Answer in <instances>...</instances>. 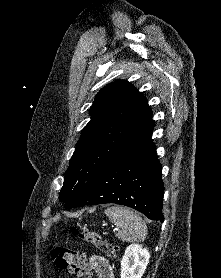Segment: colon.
I'll return each instance as SVG.
<instances>
[{
	"label": "colon",
	"instance_id": "5ec220e1",
	"mask_svg": "<svg viewBox=\"0 0 221 278\" xmlns=\"http://www.w3.org/2000/svg\"><path fill=\"white\" fill-rule=\"evenodd\" d=\"M79 236L86 243L100 248L110 256H115L117 253V248L111 243L103 240L96 232L83 229L79 232ZM51 258L55 265L60 269L80 276L88 275V270L82 255L74 249L64 246H56L51 251Z\"/></svg>",
	"mask_w": 221,
	"mask_h": 278
}]
</instances>
